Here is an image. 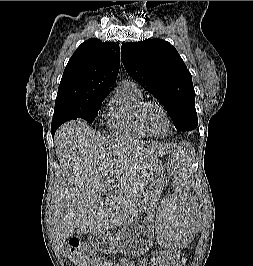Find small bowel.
Wrapping results in <instances>:
<instances>
[{
    "label": "small bowel",
    "mask_w": 253,
    "mask_h": 266,
    "mask_svg": "<svg viewBox=\"0 0 253 266\" xmlns=\"http://www.w3.org/2000/svg\"><path fill=\"white\" fill-rule=\"evenodd\" d=\"M147 261L148 260L146 258L142 259L140 261V266H142V264L144 262H147ZM120 263H121V266H134V264L129 259H126V258L121 259V262Z\"/></svg>",
    "instance_id": "obj_1"
}]
</instances>
